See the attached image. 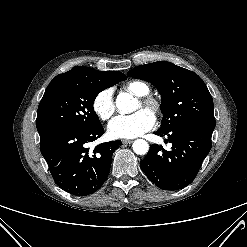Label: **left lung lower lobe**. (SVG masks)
<instances>
[{
	"label": "left lung lower lobe",
	"mask_w": 247,
	"mask_h": 247,
	"mask_svg": "<svg viewBox=\"0 0 247 247\" xmlns=\"http://www.w3.org/2000/svg\"><path fill=\"white\" fill-rule=\"evenodd\" d=\"M156 135L167 136L170 150L151 145L140 167L148 179L164 190H178L189 185L211 149L212 131L194 125L158 130Z\"/></svg>",
	"instance_id": "0a47b994"
}]
</instances>
